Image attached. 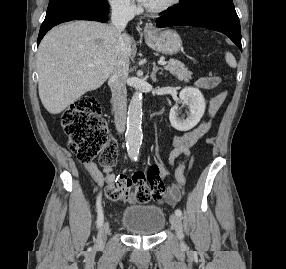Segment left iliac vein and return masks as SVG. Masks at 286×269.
<instances>
[{
	"label": "left iliac vein",
	"instance_id": "left-iliac-vein-1",
	"mask_svg": "<svg viewBox=\"0 0 286 269\" xmlns=\"http://www.w3.org/2000/svg\"><path fill=\"white\" fill-rule=\"evenodd\" d=\"M170 222H171L172 228L176 232L178 239L182 242L184 235H183V229H182V223H181L180 217L177 216L176 214H172L170 216Z\"/></svg>",
	"mask_w": 286,
	"mask_h": 269
}]
</instances>
